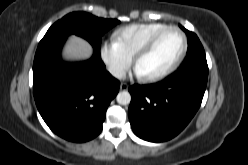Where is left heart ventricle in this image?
<instances>
[{"label": "left heart ventricle", "mask_w": 248, "mask_h": 165, "mask_svg": "<svg viewBox=\"0 0 248 165\" xmlns=\"http://www.w3.org/2000/svg\"><path fill=\"white\" fill-rule=\"evenodd\" d=\"M182 48V37L177 31L162 35L153 48L137 63L145 76L159 73L168 67Z\"/></svg>", "instance_id": "1"}]
</instances>
